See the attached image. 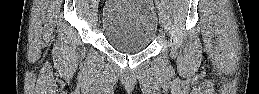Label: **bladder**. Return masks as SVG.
Listing matches in <instances>:
<instances>
[{
	"label": "bladder",
	"mask_w": 259,
	"mask_h": 94,
	"mask_svg": "<svg viewBox=\"0 0 259 94\" xmlns=\"http://www.w3.org/2000/svg\"><path fill=\"white\" fill-rule=\"evenodd\" d=\"M157 15L149 0H108L101 31L107 42L124 52L145 50L157 35Z\"/></svg>",
	"instance_id": "bladder-1"
}]
</instances>
